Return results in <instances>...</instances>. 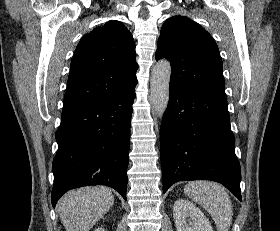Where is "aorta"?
Listing matches in <instances>:
<instances>
[{
	"label": "aorta",
	"mask_w": 280,
	"mask_h": 231,
	"mask_svg": "<svg viewBox=\"0 0 280 231\" xmlns=\"http://www.w3.org/2000/svg\"><path fill=\"white\" fill-rule=\"evenodd\" d=\"M170 62L159 60L152 70L150 102L157 117H163L169 102Z\"/></svg>",
	"instance_id": "aorta-1"
}]
</instances>
